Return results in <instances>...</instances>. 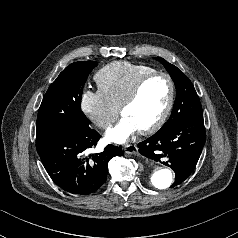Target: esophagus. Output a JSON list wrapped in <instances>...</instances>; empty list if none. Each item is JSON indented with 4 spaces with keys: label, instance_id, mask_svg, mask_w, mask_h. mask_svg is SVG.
<instances>
[{
    "label": "esophagus",
    "instance_id": "1",
    "mask_svg": "<svg viewBox=\"0 0 238 238\" xmlns=\"http://www.w3.org/2000/svg\"><path fill=\"white\" fill-rule=\"evenodd\" d=\"M124 151H125V153L132 155V154H137L138 149H137L136 145H126L124 147Z\"/></svg>",
    "mask_w": 238,
    "mask_h": 238
}]
</instances>
